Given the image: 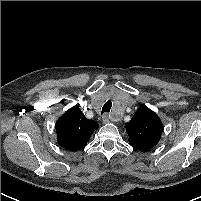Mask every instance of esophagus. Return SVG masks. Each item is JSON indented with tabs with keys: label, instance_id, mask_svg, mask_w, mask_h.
<instances>
[{
	"label": "esophagus",
	"instance_id": "1",
	"mask_svg": "<svg viewBox=\"0 0 201 201\" xmlns=\"http://www.w3.org/2000/svg\"><path fill=\"white\" fill-rule=\"evenodd\" d=\"M102 121L104 124L109 123L110 121H112L111 116L110 115H104L102 117Z\"/></svg>",
	"mask_w": 201,
	"mask_h": 201
}]
</instances>
